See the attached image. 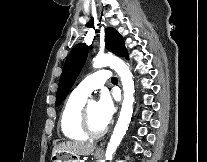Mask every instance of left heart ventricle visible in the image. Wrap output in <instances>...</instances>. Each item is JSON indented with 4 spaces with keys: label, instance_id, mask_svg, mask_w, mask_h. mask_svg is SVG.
I'll list each match as a JSON object with an SVG mask.
<instances>
[{
    "label": "left heart ventricle",
    "instance_id": "b2bd125f",
    "mask_svg": "<svg viewBox=\"0 0 207 162\" xmlns=\"http://www.w3.org/2000/svg\"><path fill=\"white\" fill-rule=\"evenodd\" d=\"M89 120L94 130H100L105 127L99 114L98 103L95 101L89 103Z\"/></svg>",
    "mask_w": 207,
    "mask_h": 162
}]
</instances>
